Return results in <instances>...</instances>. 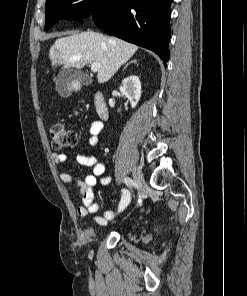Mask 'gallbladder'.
Segmentation results:
<instances>
[{
	"instance_id": "1",
	"label": "gallbladder",
	"mask_w": 247,
	"mask_h": 296,
	"mask_svg": "<svg viewBox=\"0 0 247 296\" xmlns=\"http://www.w3.org/2000/svg\"><path fill=\"white\" fill-rule=\"evenodd\" d=\"M74 75L70 69H63L57 78L56 88L59 95L63 98H67L72 94V81ZM78 78L83 85L88 86L92 79L86 75L78 74Z\"/></svg>"
}]
</instances>
